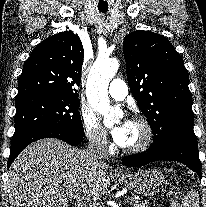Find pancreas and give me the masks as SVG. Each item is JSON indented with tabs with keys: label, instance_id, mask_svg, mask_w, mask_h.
<instances>
[{
	"label": "pancreas",
	"instance_id": "cf45deb5",
	"mask_svg": "<svg viewBox=\"0 0 206 207\" xmlns=\"http://www.w3.org/2000/svg\"><path fill=\"white\" fill-rule=\"evenodd\" d=\"M96 207H101V206H96ZM133 207H150L149 203L147 202H134Z\"/></svg>",
	"mask_w": 206,
	"mask_h": 207
}]
</instances>
